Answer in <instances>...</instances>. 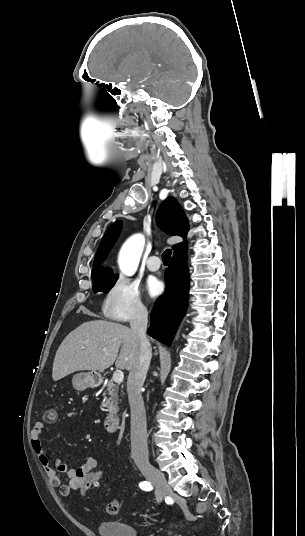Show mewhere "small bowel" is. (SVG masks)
Listing matches in <instances>:
<instances>
[{
  "label": "small bowel",
  "mask_w": 305,
  "mask_h": 536,
  "mask_svg": "<svg viewBox=\"0 0 305 536\" xmlns=\"http://www.w3.org/2000/svg\"><path fill=\"white\" fill-rule=\"evenodd\" d=\"M43 430L44 427H32L31 445L51 485L59 489V494L62 497H68L72 491L80 492L81 484L87 479V470L94 469L97 460L94 457H87L79 465L72 466L68 460L56 458L51 465L41 442ZM61 475L68 479L67 483L62 482Z\"/></svg>",
  "instance_id": "obj_1"
}]
</instances>
